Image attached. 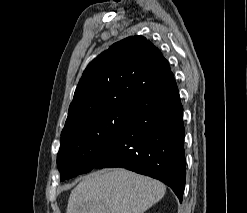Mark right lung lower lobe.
<instances>
[{
	"instance_id": "right-lung-lower-lobe-1",
	"label": "right lung lower lobe",
	"mask_w": 247,
	"mask_h": 213,
	"mask_svg": "<svg viewBox=\"0 0 247 213\" xmlns=\"http://www.w3.org/2000/svg\"><path fill=\"white\" fill-rule=\"evenodd\" d=\"M131 113L95 167L126 168L166 183L182 201L186 173L183 107L174 77L130 99Z\"/></svg>"
}]
</instances>
